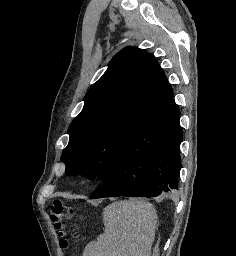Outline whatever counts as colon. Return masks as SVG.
I'll use <instances>...</instances> for the list:
<instances>
[{"instance_id": "obj_1", "label": "colon", "mask_w": 236, "mask_h": 256, "mask_svg": "<svg viewBox=\"0 0 236 256\" xmlns=\"http://www.w3.org/2000/svg\"><path fill=\"white\" fill-rule=\"evenodd\" d=\"M48 216L52 221L55 230L57 231L58 236H63V226L64 221H68L75 216L73 209L68 207L63 201L61 200H54L49 208H48ZM60 246L63 249H67L69 246V242L65 238L60 239Z\"/></svg>"}]
</instances>
